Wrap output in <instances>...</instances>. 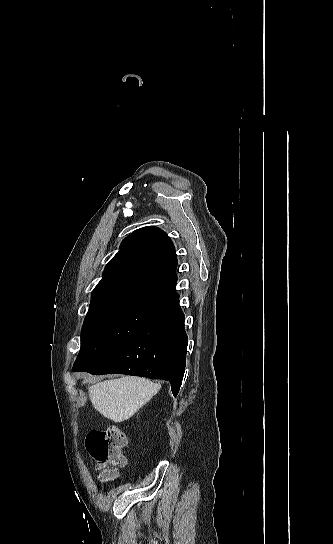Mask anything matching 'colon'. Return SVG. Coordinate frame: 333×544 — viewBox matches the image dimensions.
Segmentation results:
<instances>
[{"label":"colon","mask_w":333,"mask_h":544,"mask_svg":"<svg viewBox=\"0 0 333 544\" xmlns=\"http://www.w3.org/2000/svg\"><path fill=\"white\" fill-rule=\"evenodd\" d=\"M127 444L125 433L117 426L93 430L86 438V449L96 462L101 481L116 478L118 469L126 464L123 449Z\"/></svg>","instance_id":"5ec220e1"}]
</instances>
